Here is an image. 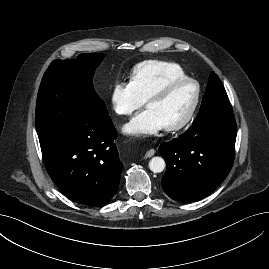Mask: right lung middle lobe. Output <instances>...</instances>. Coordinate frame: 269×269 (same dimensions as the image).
<instances>
[{
  "instance_id": "dd1d6c3e",
  "label": "right lung middle lobe",
  "mask_w": 269,
  "mask_h": 269,
  "mask_svg": "<svg viewBox=\"0 0 269 269\" xmlns=\"http://www.w3.org/2000/svg\"><path fill=\"white\" fill-rule=\"evenodd\" d=\"M103 54H80L76 60H55L46 70L37 97L36 129L43 143L85 124L111 120L95 92L92 78Z\"/></svg>"
}]
</instances>
